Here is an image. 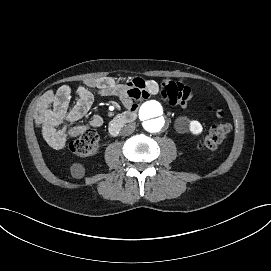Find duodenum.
<instances>
[{
  "mask_svg": "<svg viewBox=\"0 0 271 271\" xmlns=\"http://www.w3.org/2000/svg\"><path fill=\"white\" fill-rule=\"evenodd\" d=\"M136 118H137V113L135 111L128 110L121 113L120 115H118L111 121L109 125L110 133L114 136L117 135L120 132L122 126L128 123L134 122Z\"/></svg>",
  "mask_w": 271,
  "mask_h": 271,
  "instance_id": "obj_1",
  "label": "duodenum"
}]
</instances>
